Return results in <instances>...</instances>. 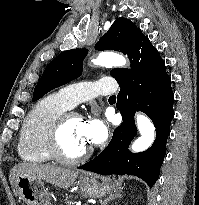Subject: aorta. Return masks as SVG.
I'll return each mask as SVG.
<instances>
[{"instance_id": "762f6f07", "label": "aorta", "mask_w": 199, "mask_h": 205, "mask_svg": "<svg viewBox=\"0 0 199 205\" xmlns=\"http://www.w3.org/2000/svg\"><path fill=\"white\" fill-rule=\"evenodd\" d=\"M94 65L104 67H122L126 65V59L114 52H101L93 61ZM137 128L141 134L132 144L133 152H142L147 150L154 142L155 127L148 117L143 114L136 116Z\"/></svg>"}]
</instances>
